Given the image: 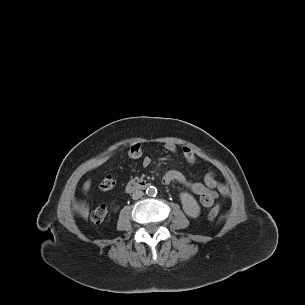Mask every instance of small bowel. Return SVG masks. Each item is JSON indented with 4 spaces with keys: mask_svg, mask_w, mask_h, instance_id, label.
Masks as SVG:
<instances>
[{
    "mask_svg": "<svg viewBox=\"0 0 305 305\" xmlns=\"http://www.w3.org/2000/svg\"><path fill=\"white\" fill-rule=\"evenodd\" d=\"M165 149L172 154H177L178 149L175 143L167 142L164 145ZM182 156L186 162L190 165L196 162V152L189 146H183L181 150ZM151 159L149 157H143V166H149ZM164 184H170L171 182L180 183L189 188L194 194L199 196L200 203L204 207H211L215 200L218 198L219 193L223 196L229 195V190L226 185L219 182L216 178L214 171L210 170L206 173L204 182H189L186 177L178 170H169L162 178Z\"/></svg>",
    "mask_w": 305,
    "mask_h": 305,
    "instance_id": "c3829d8e",
    "label": "small bowel"
}]
</instances>
